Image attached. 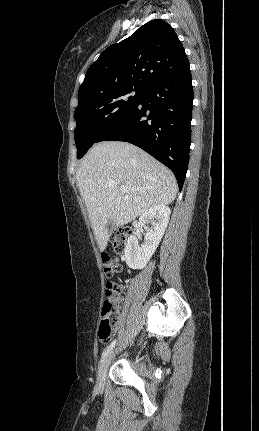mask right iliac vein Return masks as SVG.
Segmentation results:
<instances>
[{"label": "right iliac vein", "mask_w": 259, "mask_h": 431, "mask_svg": "<svg viewBox=\"0 0 259 431\" xmlns=\"http://www.w3.org/2000/svg\"><path fill=\"white\" fill-rule=\"evenodd\" d=\"M113 357V352H111L106 359L103 361V363L101 364L99 371H98V378H97V383L98 385L101 387L103 386L104 382H105V378H106V373H107V369L111 363V359Z\"/></svg>", "instance_id": "63e3f726"}]
</instances>
